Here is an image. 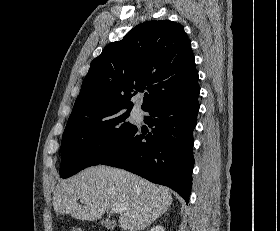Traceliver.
<instances>
[{"instance_id":"6515ba94","label":"liver","mask_w":280,"mask_h":231,"mask_svg":"<svg viewBox=\"0 0 280 231\" xmlns=\"http://www.w3.org/2000/svg\"><path fill=\"white\" fill-rule=\"evenodd\" d=\"M171 203L168 187L107 165L87 167L63 179L56 185L53 197L55 213H71L76 219H100L106 209L113 211L119 205V223L125 231L145 229Z\"/></svg>"}]
</instances>
